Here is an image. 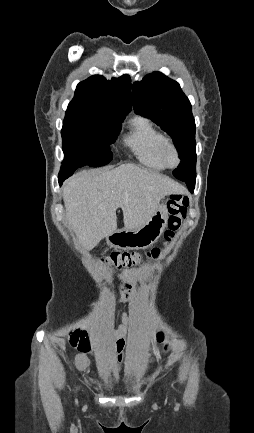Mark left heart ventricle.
Wrapping results in <instances>:
<instances>
[{"instance_id":"left-heart-ventricle-1","label":"left heart ventricle","mask_w":254,"mask_h":433,"mask_svg":"<svg viewBox=\"0 0 254 433\" xmlns=\"http://www.w3.org/2000/svg\"><path fill=\"white\" fill-rule=\"evenodd\" d=\"M164 157H165L166 162L170 165H175L177 162L175 153L173 152V150L170 147L165 148Z\"/></svg>"}]
</instances>
